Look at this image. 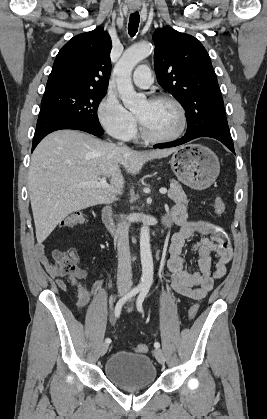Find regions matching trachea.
Segmentation results:
<instances>
[{"label": "trachea", "mask_w": 267, "mask_h": 419, "mask_svg": "<svg viewBox=\"0 0 267 419\" xmlns=\"http://www.w3.org/2000/svg\"><path fill=\"white\" fill-rule=\"evenodd\" d=\"M140 22V16L138 11L132 13L129 18L128 33L131 37H134L138 31V26Z\"/></svg>", "instance_id": "trachea-1"}]
</instances>
